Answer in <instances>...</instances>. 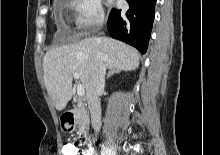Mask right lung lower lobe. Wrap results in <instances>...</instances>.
Returning a JSON list of instances; mask_svg holds the SVG:
<instances>
[{
  "mask_svg": "<svg viewBox=\"0 0 220 155\" xmlns=\"http://www.w3.org/2000/svg\"><path fill=\"white\" fill-rule=\"evenodd\" d=\"M129 9H112L107 21L111 36L137 48L142 54L147 51L155 15L156 0H127Z\"/></svg>",
  "mask_w": 220,
  "mask_h": 155,
  "instance_id": "1",
  "label": "right lung lower lobe"
}]
</instances>
